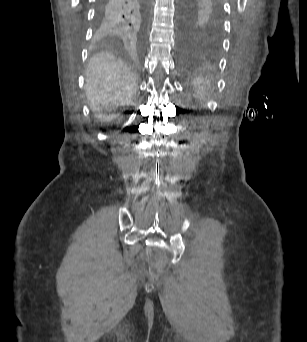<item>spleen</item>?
<instances>
[{"instance_id": "3e777b00", "label": "spleen", "mask_w": 307, "mask_h": 342, "mask_svg": "<svg viewBox=\"0 0 307 342\" xmlns=\"http://www.w3.org/2000/svg\"><path fill=\"white\" fill-rule=\"evenodd\" d=\"M198 86V96H206L207 92H209L210 82L209 80H196Z\"/></svg>"}]
</instances>
